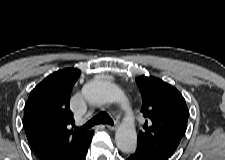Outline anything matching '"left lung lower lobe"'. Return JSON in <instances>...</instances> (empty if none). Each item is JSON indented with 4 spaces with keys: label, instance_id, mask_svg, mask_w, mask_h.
Segmentation results:
<instances>
[{
    "label": "left lung lower lobe",
    "instance_id": "left-lung-lower-lobe-1",
    "mask_svg": "<svg viewBox=\"0 0 225 160\" xmlns=\"http://www.w3.org/2000/svg\"><path fill=\"white\" fill-rule=\"evenodd\" d=\"M126 160H161L150 154L144 153L140 150H136L134 153L130 154Z\"/></svg>",
    "mask_w": 225,
    "mask_h": 160
}]
</instances>
